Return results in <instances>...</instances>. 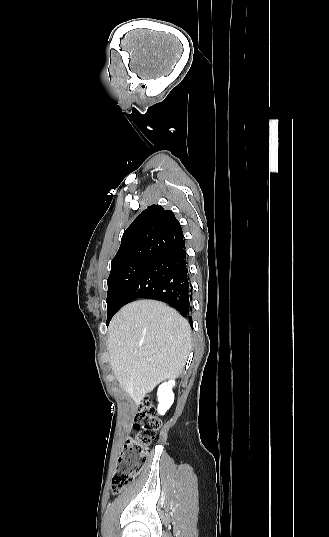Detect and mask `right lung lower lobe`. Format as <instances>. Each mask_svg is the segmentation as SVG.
<instances>
[{"label":"right lung lower lobe","instance_id":"98d812e1","mask_svg":"<svg viewBox=\"0 0 329 537\" xmlns=\"http://www.w3.org/2000/svg\"><path fill=\"white\" fill-rule=\"evenodd\" d=\"M137 298L164 301L191 321L192 287L185 239L151 261L123 295L121 306Z\"/></svg>","mask_w":329,"mask_h":537}]
</instances>
